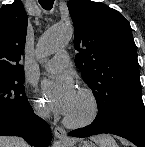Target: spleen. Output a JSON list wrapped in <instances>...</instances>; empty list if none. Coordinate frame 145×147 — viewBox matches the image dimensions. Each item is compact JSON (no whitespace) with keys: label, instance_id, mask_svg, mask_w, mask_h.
Returning <instances> with one entry per match:
<instances>
[{"label":"spleen","instance_id":"1","mask_svg":"<svg viewBox=\"0 0 145 147\" xmlns=\"http://www.w3.org/2000/svg\"><path fill=\"white\" fill-rule=\"evenodd\" d=\"M99 147H118L115 140L109 135H101L93 139Z\"/></svg>","mask_w":145,"mask_h":147}]
</instances>
